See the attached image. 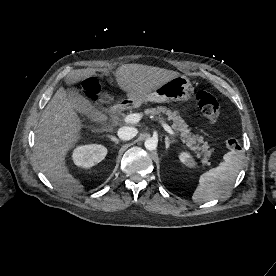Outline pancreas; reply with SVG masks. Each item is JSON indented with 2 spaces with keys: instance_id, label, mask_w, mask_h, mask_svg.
Instances as JSON below:
<instances>
[{
  "instance_id": "obj_1",
  "label": "pancreas",
  "mask_w": 276,
  "mask_h": 276,
  "mask_svg": "<svg viewBox=\"0 0 276 276\" xmlns=\"http://www.w3.org/2000/svg\"><path fill=\"white\" fill-rule=\"evenodd\" d=\"M145 113L151 116L159 115L161 113L168 115L167 119L172 122L173 130L177 133H180L182 140L186 142L190 149L195 151L197 157L202 156L203 163H207L212 154V150L209 149L210 146L208 142L204 141L203 136L192 134L190 129H188V125L185 123V121L180 116H178V112H172L165 107H157L147 109Z\"/></svg>"
}]
</instances>
